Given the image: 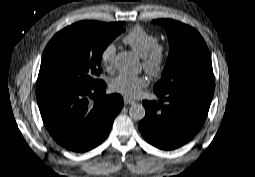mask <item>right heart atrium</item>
Returning a JSON list of instances; mask_svg holds the SVG:
<instances>
[{
    "label": "right heart atrium",
    "mask_w": 255,
    "mask_h": 177,
    "mask_svg": "<svg viewBox=\"0 0 255 177\" xmlns=\"http://www.w3.org/2000/svg\"><path fill=\"white\" fill-rule=\"evenodd\" d=\"M116 55V46L114 43H108L104 46L100 54V60L103 66L111 68Z\"/></svg>",
    "instance_id": "obj_1"
}]
</instances>
